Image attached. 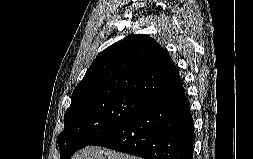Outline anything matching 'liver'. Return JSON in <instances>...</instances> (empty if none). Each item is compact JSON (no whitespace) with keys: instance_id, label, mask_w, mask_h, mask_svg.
Here are the masks:
<instances>
[{"instance_id":"liver-1","label":"liver","mask_w":253,"mask_h":159,"mask_svg":"<svg viewBox=\"0 0 253 159\" xmlns=\"http://www.w3.org/2000/svg\"><path fill=\"white\" fill-rule=\"evenodd\" d=\"M71 159H142L137 156L116 152L102 147L87 146L78 151Z\"/></svg>"}]
</instances>
